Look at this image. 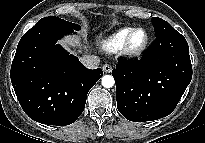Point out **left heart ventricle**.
Returning a JSON list of instances; mask_svg holds the SVG:
<instances>
[{"instance_id":"obj_1","label":"left heart ventricle","mask_w":205,"mask_h":143,"mask_svg":"<svg viewBox=\"0 0 205 143\" xmlns=\"http://www.w3.org/2000/svg\"><path fill=\"white\" fill-rule=\"evenodd\" d=\"M144 39H145V33L143 31H139L134 35L132 40V45L134 47L140 46L143 43Z\"/></svg>"}]
</instances>
